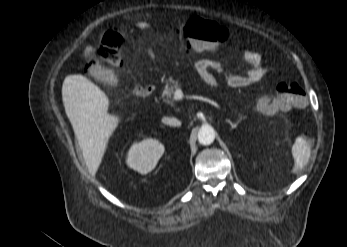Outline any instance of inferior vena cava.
<instances>
[{
	"label": "inferior vena cava",
	"instance_id": "602c4592",
	"mask_svg": "<svg viewBox=\"0 0 347 247\" xmlns=\"http://www.w3.org/2000/svg\"><path fill=\"white\" fill-rule=\"evenodd\" d=\"M163 123L168 124V125H172V126H180L181 122L176 119V118H168V117H164L162 119Z\"/></svg>",
	"mask_w": 347,
	"mask_h": 247
}]
</instances>
